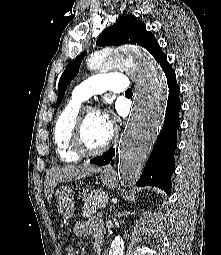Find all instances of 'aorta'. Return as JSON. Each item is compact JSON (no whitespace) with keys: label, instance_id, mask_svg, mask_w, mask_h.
Listing matches in <instances>:
<instances>
[{"label":"aorta","instance_id":"1","mask_svg":"<svg viewBox=\"0 0 221 255\" xmlns=\"http://www.w3.org/2000/svg\"><path fill=\"white\" fill-rule=\"evenodd\" d=\"M87 66L106 71L115 67L128 70L139 84L126 132L118 148V174L125 184H134L151 152L164 120L166 85L156 61L143 49L128 46L110 53L95 52ZM120 234L111 243L109 255H123Z\"/></svg>","mask_w":221,"mask_h":255}]
</instances>
